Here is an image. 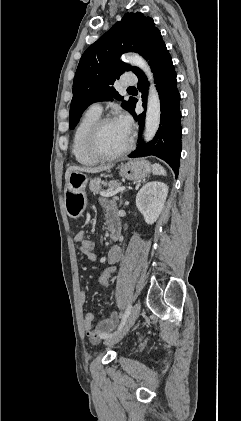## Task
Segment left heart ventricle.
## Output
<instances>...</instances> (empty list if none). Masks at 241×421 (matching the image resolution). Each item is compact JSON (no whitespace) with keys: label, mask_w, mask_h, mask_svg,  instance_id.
Returning a JSON list of instances; mask_svg holds the SVG:
<instances>
[{"label":"left heart ventricle","mask_w":241,"mask_h":421,"mask_svg":"<svg viewBox=\"0 0 241 421\" xmlns=\"http://www.w3.org/2000/svg\"><path fill=\"white\" fill-rule=\"evenodd\" d=\"M128 139L129 134L117 121H113L102 128L99 145L105 153H116L126 146Z\"/></svg>","instance_id":"left-heart-ventricle-1"}]
</instances>
